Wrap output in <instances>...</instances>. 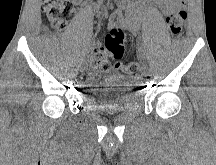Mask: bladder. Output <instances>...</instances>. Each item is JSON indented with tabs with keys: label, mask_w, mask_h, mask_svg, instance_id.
I'll return each mask as SVG.
<instances>
[{
	"label": "bladder",
	"mask_w": 216,
	"mask_h": 165,
	"mask_svg": "<svg viewBox=\"0 0 216 165\" xmlns=\"http://www.w3.org/2000/svg\"><path fill=\"white\" fill-rule=\"evenodd\" d=\"M87 86L92 89H82V94L91 97L94 111H121L132 107L137 98L135 81L132 76H126L118 71H110L108 76L89 74Z\"/></svg>",
	"instance_id": "1"
}]
</instances>
